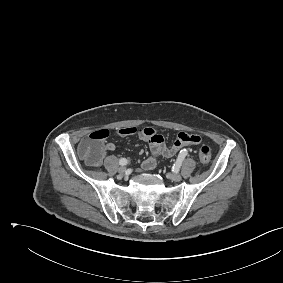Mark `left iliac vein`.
<instances>
[{"label": "left iliac vein", "mask_w": 283, "mask_h": 283, "mask_svg": "<svg viewBox=\"0 0 283 283\" xmlns=\"http://www.w3.org/2000/svg\"><path fill=\"white\" fill-rule=\"evenodd\" d=\"M167 178L171 181H174V182H179L182 180V177L181 175L179 174H171V173H168L167 174Z\"/></svg>", "instance_id": "4c4485c4"}]
</instances>
